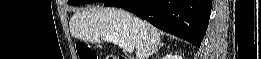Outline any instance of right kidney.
Masks as SVG:
<instances>
[{
	"label": "right kidney",
	"mask_w": 261,
	"mask_h": 59,
	"mask_svg": "<svg viewBox=\"0 0 261 59\" xmlns=\"http://www.w3.org/2000/svg\"><path fill=\"white\" fill-rule=\"evenodd\" d=\"M164 59H182V57L181 56H167V57H164Z\"/></svg>",
	"instance_id": "1"
}]
</instances>
